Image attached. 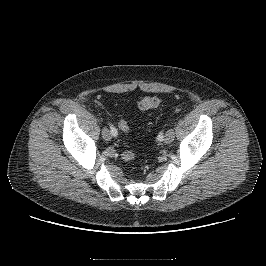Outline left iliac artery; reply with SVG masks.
Returning a JSON list of instances; mask_svg holds the SVG:
<instances>
[{
    "mask_svg": "<svg viewBox=\"0 0 266 266\" xmlns=\"http://www.w3.org/2000/svg\"><path fill=\"white\" fill-rule=\"evenodd\" d=\"M158 140H159L160 142L163 140V133H160V134L158 135Z\"/></svg>",
    "mask_w": 266,
    "mask_h": 266,
    "instance_id": "left-iliac-artery-1",
    "label": "left iliac artery"
}]
</instances>
